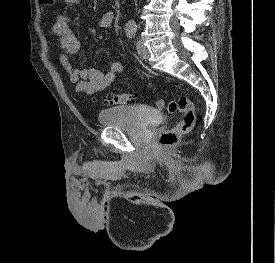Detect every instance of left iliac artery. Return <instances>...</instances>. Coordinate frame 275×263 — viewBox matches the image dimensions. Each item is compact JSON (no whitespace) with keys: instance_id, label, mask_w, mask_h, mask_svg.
Returning <instances> with one entry per match:
<instances>
[{"instance_id":"obj_1","label":"left iliac artery","mask_w":275,"mask_h":263,"mask_svg":"<svg viewBox=\"0 0 275 263\" xmlns=\"http://www.w3.org/2000/svg\"><path fill=\"white\" fill-rule=\"evenodd\" d=\"M136 31H137V26L128 25L126 27V34L129 38H133L135 36Z\"/></svg>"}]
</instances>
